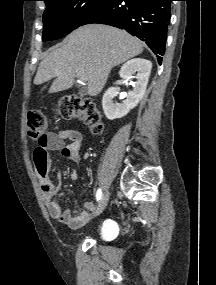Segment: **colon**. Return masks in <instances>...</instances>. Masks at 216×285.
Listing matches in <instances>:
<instances>
[{"label": "colon", "instance_id": "colon-1", "mask_svg": "<svg viewBox=\"0 0 216 285\" xmlns=\"http://www.w3.org/2000/svg\"><path fill=\"white\" fill-rule=\"evenodd\" d=\"M56 114L63 119L79 117L83 119L95 133H101L103 124L100 113L91 100L63 99L56 108ZM27 132L37 147L43 149L47 143L48 118L38 110L28 113Z\"/></svg>", "mask_w": 216, "mask_h": 285}]
</instances>
